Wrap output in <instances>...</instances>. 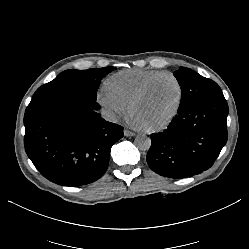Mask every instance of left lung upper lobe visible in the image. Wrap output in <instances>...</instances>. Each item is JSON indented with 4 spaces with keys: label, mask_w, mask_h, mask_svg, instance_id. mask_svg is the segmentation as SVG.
I'll use <instances>...</instances> for the list:
<instances>
[{
    "label": "left lung upper lobe",
    "mask_w": 249,
    "mask_h": 249,
    "mask_svg": "<svg viewBox=\"0 0 249 249\" xmlns=\"http://www.w3.org/2000/svg\"><path fill=\"white\" fill-rule=\"evenodd\" d=\"M173 74L181 86V102L178 111L199 100L223 96L222 90L217 83L202 77L189 68L181 67Z\"/></svg>",
    "instance_id": "left-lung-upper-lobe-1"
}]
</instances>
